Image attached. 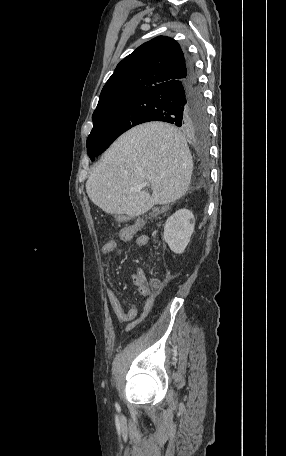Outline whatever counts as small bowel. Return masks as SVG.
Segmentation results:
<instances>
[{
  "instance_id": "c3829d8e",
  "label": "small bowel",
  "mask_w": 286,
  "mask_h": 456,
  "mask_svg": "<svg viewBox=\"0 0 286 456\" xmlns=\"http://www.w3.org/2000/svg\"><path fill=\"white\" fill-rule=\"evenodd\" d=\"M119 238L121 241H129L133 238V235H127L122 229L119 232ZM148 243V236L146 234H140L135 238V245L139 248H143ZM118 249V243L115 240H107L103 243L101 247V252L103 255H111L115 253ZM132 282L136 286L138 293L145 299L144 305L141 314L138 316V308L136 305H131L128 309L124 308L118 295L115 291L109 289L107 290V299L108 302L115 313L117 319L121 322H130L127 326V331L132 330L139 322L144 320L148 314L151 312L154 300L155 293L152 291L145 277L140 273L132 274Z\"/></svg>"
}]
</instances>
